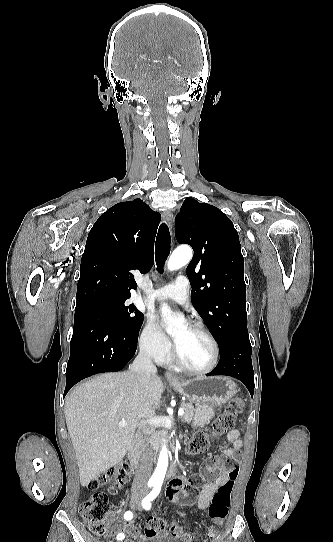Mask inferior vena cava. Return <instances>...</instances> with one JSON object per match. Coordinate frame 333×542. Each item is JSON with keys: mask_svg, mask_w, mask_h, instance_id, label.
<instances>
[{"mask_svg": "<svg viewBox=\"0 0 333 542\" xmlns=\"http://www.w3.org/2000/svg\"><path fill=\"white\" fill-rule=\"evenodd\" d=\"M129 372H136L138 376V382L143 392H145L147 382H149L152 376H156L157 368L156 366H154L149 354H147L145 350H141L137 358H135L132 366H130ZM147 410H149V408H147ZM142 436H143L144 442H147L150 436L149 424H144L142 428ZM152 456H153V452L151 448H149V446H146V448H144L142 452L140 464L135 472V476H134V480L132 484L133 492H136V490H143V492H146L147 484L150 480V476L152 472V466H153Z\"/></svg>", "mask_w": 333, "mask_h": 542, "instance_id": "inferior-vena-cava-1", "label": "inferior vena cava"}]
</instances>
